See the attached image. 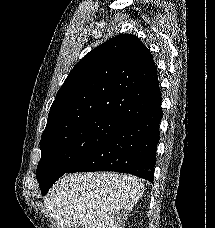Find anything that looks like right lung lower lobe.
Returning a JSON list of instances; mask_svg holds the SVG:
<instances>
[{"instance_id": "1", "label": "right lung lower lobe", "mask_w": 215, "mask_h": 228, "mask_svg": "<svg viewBox=\"0 0 215 228\" xmlns=\"http://www.w3.org/2000/svg\"><path fill=\"white\" fill-rule=\"evenodd\" d=\"M162 114L160 104L126 121L66 173L115 171L133 174L153 183Z\"/></svg>"}]
</instances>
